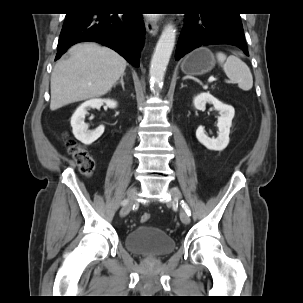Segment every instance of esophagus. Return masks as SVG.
<instances>
[{
  "label": "esophagus",
  "mask_w": 303,
  "mask_h": 303,
  "mask_svg": "<svg viewBox=\"0 0 303 303\" xmlns=\"http://www.w3.org/2000/svg\"><path fill=\"white\" fill-rule=\"evenodd\" d=\"M145 27L149 34L155 36L159 31V24L156 20L147 18L145 20Z\"/></svg>",
  "instance_id": "obj_1"
}]
</instances>
